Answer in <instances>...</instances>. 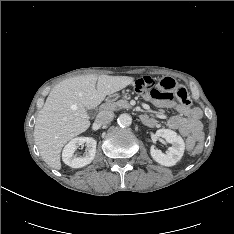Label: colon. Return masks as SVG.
<instances>
[{
  "instance_id": "5ec220e1",
  "label": "colon",
  "mask_w": 234,
  "mask_h": 234,
  "mask_svg": "<svg viewBox=\"0 0 234 234\" xmlns=\"http://www.w3.org/2000/svg\"><path fill=\"white\" fill-rule=\"evenodd\" d=\"M135 88L138 92L143 93L147 92L152 97L158 99H173L177 98L180 103L184 106H189L191 103L189 94L186 88L180 84H178L174 79L170 77L163 78L160 82L155 86L154 81L148 77L144 76L139 78L135 82ZM193 151L198 154L202 150V146L200 144H193L190 146Z\"/></svg>"
}]
</instances>
